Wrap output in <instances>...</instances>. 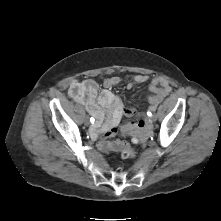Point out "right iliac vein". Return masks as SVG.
Segmentation results:
<instances>
[{"label":"right iliac vein","mask_w":221,"mask_h":221,"mask_svg":"<svg viewBox=\"0 0 221 221\" xmlns=\"http://www.w3.org/2000/svg\"><path fill=\"white\" fill-rule=\"evenodd\" d=\"M84 124H85L86 126H89L90 122H89V120H88V117H85V119H84Z\"/></svg>","instance_id":"1"}]
</instances>
